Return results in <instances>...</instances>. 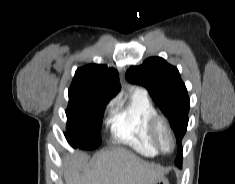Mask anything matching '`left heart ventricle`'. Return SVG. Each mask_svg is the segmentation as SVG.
Wrapping results in <instances>:
<instances>
[{"mask_svg":"<svg viewBox=\"0 0 235 184\" xmlns=\"http://www.w3.org/2000/svg\"><path fill=\"white\" fill-rule=\"evenodd\" d=\"M159 143H160L161 147L166 151H171L173 148L172 137L165 130H162L159 134Z\"/></svg>","mask_w":235,"mask_h":184,"instance_id":"1","label":"left heart ventricle"}]
</instances>
